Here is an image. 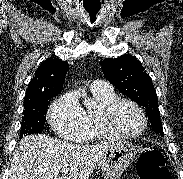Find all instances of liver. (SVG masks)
I'll return each mask as SVG.
<instances>
[{
	"mask_svg": "<svg viewBox=\"0 0 183 179\" xmlns=\"http://www.w3.org/2000/svg\"><path fill=\"white\" fill-rule=\"evenodd\" d=\"M114 142L88 146L34 134L21 139L15 148L9 179H89L104 152ZM68 168L70 174L59 177Z\"/></svg>",
	"mask_w": 183,
	"mask_h": 179,
	"instance_id": "1",
	"label": "liver"
}]
</instances>
